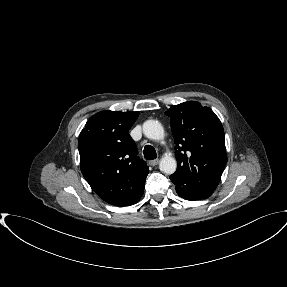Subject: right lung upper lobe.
Wrapping results in <instances>:
<instances>
[{"mask_svg":"<svg viewBox=\"0 0 287 287\" xmlns=\"http://www.w3.org/2000/svg\"><path fill=\"white\" fill-rule=\"evenodd\" d=\"M138 112L101 111L81 131L78 148L84 178L104 201L115 206L138 202L148 166L137 157L128 131Z\"/></svg>","mask_w":287,"mask_h":287,"instance_id":"obj_1","label":"right lung upper lobe"}]
</instances>
